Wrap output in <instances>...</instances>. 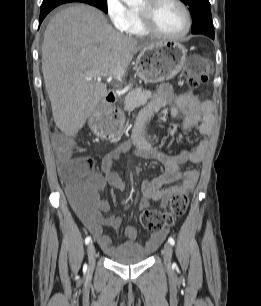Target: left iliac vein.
I'll return each instance as SVG.
<instances>
[{
  "label": "left iliac vein",
  "instance_id": "1",
  "mask_svg": "<svg viewBox=\"0 0 261 306\" xmlns=\"http://www.w3.org/2000/svg\"><path fill=\"white\" fill-rule=\"evenodd\" d=\"M163 257H164V264L166 268L171 267V260H172V246L170 243L166 242L163 249Z\"/></svg>",
  "mask_w": 261,
  "mask_h": 306
}]
</instances>
